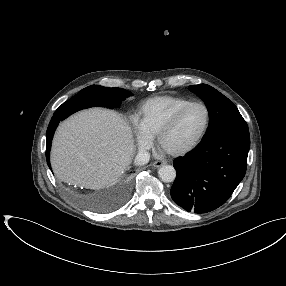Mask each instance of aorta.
Wrapping results in <instances>:
<instances>
[{
    "mask_svg": "<svg viewBox=\"0 0 286 286\" xmlns=\"http://www.w3.org/2000/svg\"><path fill=\"white\" fill-rule=\"evenodd\" d=\"M158 175L163 182H173L176 177V171L171 165H164L159 168Z\"/></svg>",
    "mask_w": 286,
    "mask_h": 286,
    "instance_id": "aorta-1",
    "label": "aorta"
}]
</instances>
